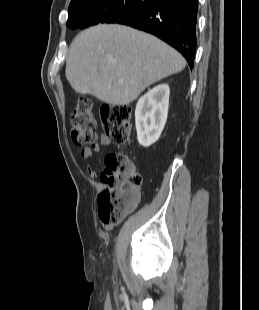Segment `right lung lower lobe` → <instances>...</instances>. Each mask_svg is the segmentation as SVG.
Returning a JSON list of instances; mask_svg holds the SVG:
<instances>
[{
    "mask_svg": "<svg viewBox=\"0 0 259 310\" xmlns=\"http://www.w3.org/2000/svg\"><path fill=\"white\" fill-rule=\"evenodd\" d=\"M198 0H152L145 8L118 21L149 32L177 49L194 66Z\"/></svg>",
    "mask_w": 259,
    "mask_h": 310,
    "instance_id": "obj_1",
    "label": "right lung lower lobe"
}]
</instances>
